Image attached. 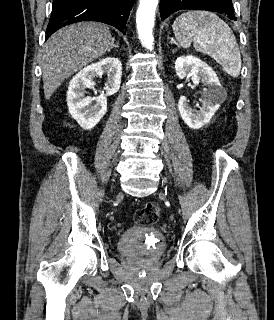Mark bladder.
<instances>
[{"instance_id": "bladder-1", "label": "bladder", "mask_w": 274, "mask_h": 320, "mask_svg": "<svg viewBox=\"0 0 274 320\" xmlns=\"http://www.w3.org/2000/svg\"><path fill=\"white\" fill-rule=\"evenodd\" d=\"M164 233L149 225L129 227L122 231L116 243L120 255L128 259H156L166 251Z\"/></svg>"}]
</instances>
